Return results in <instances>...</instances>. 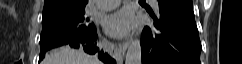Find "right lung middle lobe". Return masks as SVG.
Segmentation results:
<instances>
[{
  "mask_svg": "<svg viewBox=\"0 0 242 64\" xmlns=\"http://www.w3.org/2000/svg\"><path fill=\"white\" fill-rule=\"evenodd\" d=\"M95 31L85 7L43 13L40 55L70 41L89 37Z\"/></svg>",
  "mask_w": 242,
  "mask_h": 64,
  "instance_id": "right-lung-middle-lobe-1",
  "label": "right lung middle lobe"
}]
</instances>
